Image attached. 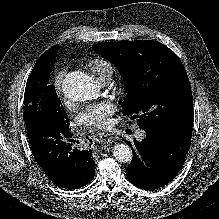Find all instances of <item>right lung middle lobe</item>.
I'll use <instances>...</instances> for the list:
<instances>
[{
  "mask_svg": "<svg viewBox=\"0 0 219 219\" xmlns=\"http://www.w3.org/2000/svg\"><path fill=\"white\" fill-rule=\"evenodd\" d=\"M58 48L44 52L36 61L27 80L24 93L23 119L26 124L41 116L56 119L63 127L69 128V118L65 112L54 86L48 83L52 65Z\"/></svg>",
  "mask_w": 219,
  "mask_h": 219,
  "instance_id": "obj_1",
  "label": "right lung middle lobe"
}]
</instances>
